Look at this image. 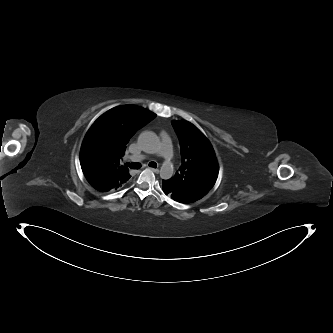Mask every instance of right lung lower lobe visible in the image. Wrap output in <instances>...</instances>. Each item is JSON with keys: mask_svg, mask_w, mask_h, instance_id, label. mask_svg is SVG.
Returning a JSON list of instances; mask_svg holds the SVG:
<instances>
[{"mask_svg": "<svg viewBox=\"0 0 333 333\" xmlns=\"http://www.w3.org/2000/svg\"><path fill=\"white\" fill-rule=\"evenodd\" d=\"M81 167H82L83 173H84L87 181L90 183V185L92 187H94L96 190H99L101 192H106V191H104V188H101V186L98 185V183L95 179V175L92 174L94 169L90 167L89 163H81Z\"/></svg>", "mask_w": 333, "mask_h": 333, "instance_id": "obj_1", "label": "right lung lower lobe"}]
</instances>
